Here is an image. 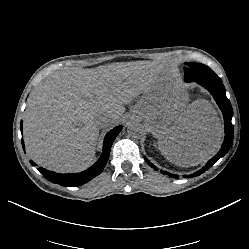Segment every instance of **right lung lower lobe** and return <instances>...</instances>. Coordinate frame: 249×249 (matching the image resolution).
<instances>
[{"label":"right lung lower lobe","mask_w":249,"mask_h":249,"mask_svg":"<svg viewBox=\"0 0 249 249\" xmlns=\"http://www.w3.org/2000/svg\"><path fill=\"white\" fill-rule=\"evenodd\" d=\"M20 130L22 131V121L20 123ZM121 130L122 126L115 127L105 136L101 157L94 165H92L90 168L81 173L60 174L47 171L46 169L41 167L38 170L43 174L46 179H48L52 183L60 184L61 186H79L85 184L103 171L109 158L111 146L116 136L120 133ZM22 146L24 148L23 140ZM30 163L32 165H36L33 161H30Z\"/></svg>","instance_id":"1"}]
</instances>
